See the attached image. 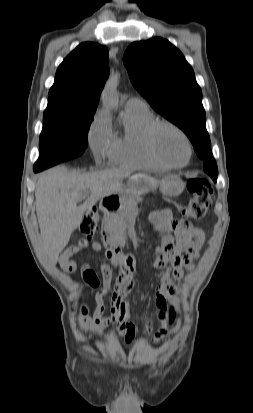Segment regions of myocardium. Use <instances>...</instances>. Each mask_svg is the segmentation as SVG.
Wrapping results in <instances>:
<instances>
[{
	"label": "myocardium",
	"instance_id": "myocardium-1",
	"mask_svg": "<svg viewBox=\"0 0 253 413\" xmlns=\"http://www.w3.org/2000/svg\"><path fill=\"white\" fill-rule=\"evenodd\" d=\"M162 127H168L170 129L176 131L184 139V141L186 143V146H187V150H188V156H187L186 161L183 164H172V163L166 161L158 153L157 148H156V144H155V136H156L157 131ZM144 142H145L147 152L149 153L151 158L155 162H157L159 165H161L162 167L169 168V169H181V168L186 167L191 161L192 154H193V147H192V143H191L190 138L184 132L183 129H181L179 126H177L176 124H174L170 121L155 120L154 122H152L145 130Z\"/></svg>",
	"mask_w": 253,
	"mask_h": 413
}]
</instances>
